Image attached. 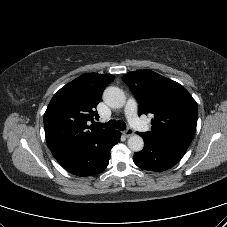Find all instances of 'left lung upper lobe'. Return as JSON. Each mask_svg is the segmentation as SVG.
<instances>
[{"label": "left lung upper lobe", "instance_id": "obj_1", "mask_svg": "<svg viewBox=\"0 0 227 227\" xmlns=\"http://www.w3.org/2000/svg\"><path fill=\"white\" fill-rule=\"evenodd\" d=\"M122 80L139 103V115L152 114V127L144 135L188 147L197 125L198 108L179 83L150 70L130 72Z\"/></svg>", "mask_w": 227, "mask_h": 227}]
</instances>
